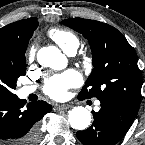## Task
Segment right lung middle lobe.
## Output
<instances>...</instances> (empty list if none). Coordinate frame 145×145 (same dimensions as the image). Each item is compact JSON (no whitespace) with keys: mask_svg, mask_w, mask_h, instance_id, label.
<instances>
[{"mask_svg":"<svg viewBox=\"0 0 145 145\" xmlns=\"http://www.w3.org/2000/svg\"><path fill=\"white\" fill-rule=\"evenodd\" d=\"M27 44L0 50V95H15L17 79L26 74Z\"/></svg>","mask_w":145,"mask_h":145,"instance_id":"right-lung-middle-lobe-1","label":"right lung middle lobe"}]
</instances>
